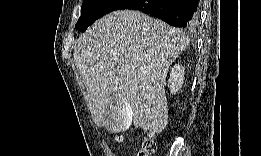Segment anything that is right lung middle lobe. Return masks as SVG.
<instances>
[{
    "label": "right lung middle lobe",
    "instance_id": "obj_1",
    "mask_svg": "<svg viewBox=\"0 0 261 156\" xmlns=\"http://www.w3.org/2000/svg\"><path fill=\"white\" fill-rule=\"evenodd\" d=\"M127 2L128 0H84L81 17L75 28L79 31H85L98 18L119 9Z\"/></svg>",
    "mask_w": 261,
    "mask_h": 156
}]
</instances>
